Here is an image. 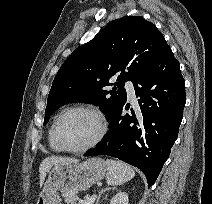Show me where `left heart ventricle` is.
Segmentation results:
<instances>
[{
	"label": "left heart ventricle",
	"mask_w": 212,
	"mask_h": 204,
	"mask_svg": "<svg viewBox=\"0 0 212 204\" xmlns=\"http://www.w3.org/2000/svg\"><path fill=\"white\" fill-rule=\"evenodd\" d=\"M98 130L95 118L85 112H70L60 121L58 133L64 145L79 148L89 143Z\"/></svg>",
	"instance_id": "b2bd125f"
}]
</instances>
